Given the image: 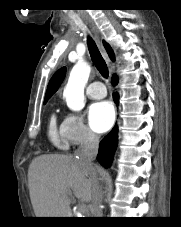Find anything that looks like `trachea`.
Here are the masks:
<instances>
[{"label": "trachea", "instance_id": "obj_1", "mask_svg": "<svg viewBox=\"0 0 181 227\" xmlns=\"http://www.w3.org/2000/svg\"><path fill=\"white\" fill-rule=\"evenodd\" d=\"M87 44H88L90 56L94 65L96 66L100 74L103 77L107 78L109 74L107 64L104 61L103 57L101 56L94 40L91 37H88Z\"/></svg>", "mask_w": 181, "mask_h": 227}]
</instances>
